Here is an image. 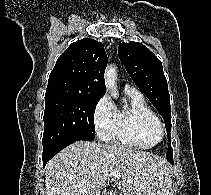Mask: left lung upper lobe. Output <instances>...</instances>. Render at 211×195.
Returning <instances> with one entry per match:
<instances>
[{
  "mask_svg": "<svg viewBox=\"0 0 211 195\" xmlns=\"http://www.w3.org/2000/svg\"><path fill=\"white\" fill-rule=\"evenodd\" d=\"M118 55L136 86L162 115L171 142L170 95L161 61L142 43L133 41L121 43ZM166 158L169 162L173 160L171 145H168Z\"/></svg>",
  "mask_w": 211,
  "mask_h": 195,
  "instance_id": "left-lung-upper-lobe-1",
  "label": "left lung upper lobe"
}]
</instances>
